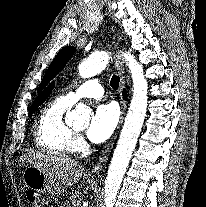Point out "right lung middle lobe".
<instances>
[{
  "label": "right lung middle lobe",
  "mask_w": 206,
  "mask_h": 207,
  "mask_svg": "<svg viewBox=\"0 0 206 207\" xmlns=\"http://www.w3.org/2000/svg\"><path fill=\"white\" fill-rule=\"evenodd\" d=\"M36 110V108H33L30 110V115H32L34 113V111Z\"/></svg>",
  "instance_id": "1"
}]
</instances>
